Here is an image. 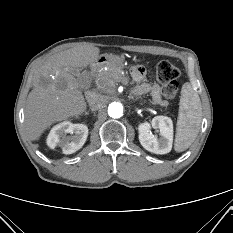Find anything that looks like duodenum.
Wrapping results in <instances>:
<instances>
[{
  "mask_svg": "<svg viewBox=\"0 0 233 233\" xmlns=\"http://www.w3.org/2000/svg\"><path fill=\"white\" fill-rule=\"evenodd\" d=\"M104 59H98L97 61H95L92 66H91V71L94 72L99 66H101L104 63ZM90 78V76H88V79Z\"/></svg>",
  "mask_w": 233,
  "mask_h": 233,
  "instance_id": "1",
  "label": "duodenum"
}]
</instances>
